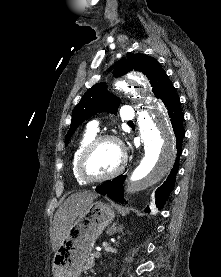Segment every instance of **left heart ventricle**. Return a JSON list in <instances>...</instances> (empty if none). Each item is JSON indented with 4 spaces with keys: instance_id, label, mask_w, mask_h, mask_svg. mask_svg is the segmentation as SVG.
Wrapping results in <instances>:
<instances>
[{
    "instance_id": "1",
    "label": "left heart ventricle",
    "mask_w": 221,
    "mask_h": 277,
    "mask_svg": "<svg viewBox=\"0 0 221 277\" xmlns=\"http://www.w3.org/2000/svg\"><path fill=\"white\" fill-rule=\"evenodd\" d=\"M120 162V150L113 142H104L95 148L85 162V172L99 177L112 172Z\"/></svg>"
}]
</instances>
